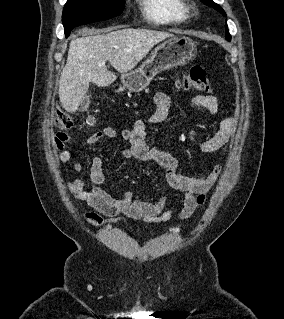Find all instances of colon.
I'll use <instances>...</instances> for the list:
<instances>
[{"label": "colon", "instance_id": "obj_1", "mask_svg": "<svg viewBox=\"0 0 284 319\" xmlns=\"http://www.w3.org/2000/svg\"><path fill=\"white\" fill-rule=\"evenodd\" d=\"M178 85L184 89H193L204 93L211 92L210 82L205 68L201 64L192 65L178 81ZM74 122L75 117L68 113L62 111L55 113L54 123L62 131L71 128Z\"/></svg>", "mask_w": 284, "mask_h": 319}]
</instances>
